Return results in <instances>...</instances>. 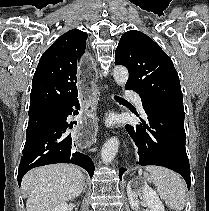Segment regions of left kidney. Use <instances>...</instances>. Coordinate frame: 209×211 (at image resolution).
Listing matches in <instances>:
<instances>
[{"instance_id": "obj_1", "label": "left kidney", "mask_w": 209, "mask_h": 211, "mask_svg": "<svg viewBox=\"0 0 209 211\" xmlns=\"http://www.w3.org/2000/svg\"><path fill=\"white\" fill-rule=\"evenodd\" d=\"M127 196L133 210L139 208L140 200L145 203L149 211H165L164 205L160 201L157 193L149 187L147 183L129 182L127 185Z\"/></svg>"}]
</instances>
